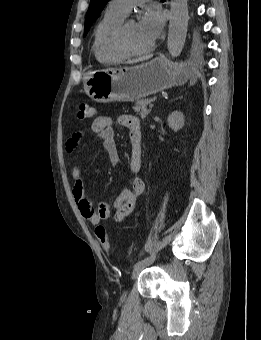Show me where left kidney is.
I'll return each instance as SVG.
<instances>
[{
    "label": "left kidney",
    "mask_w": 261,
    "mask_h": 340,
    "mask_svg": "<svg viewBox=\"0 0 261 340\" xmlns=\"http://www.w3.org/2000/svg\"><path fill=\"white\" fill-rule=\"evenodd\" d=\"M168 125L169 127L177 132L178 130L182 129L184 126V115L180 111H174L168 116Z\"/></svg>",
    "instance_id": "5707ae66"
}]
</instances>
